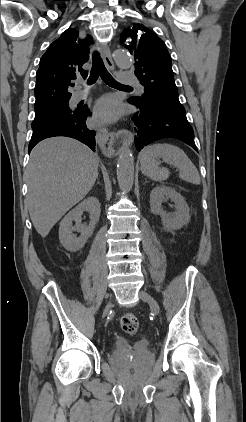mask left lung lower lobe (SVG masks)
Segmentation results:
<instances>
[{
	"mask_svg": "<svg viewBox=\"0 0 246 422\" xmlns=\"http://www.w3.org/2000/svg\"><path fill=\"white\" fill-rule=\"evenodd\" d=\"M133 104L131 101H128ZM134 105V104H133ZM136 106V105H135ZM132 120L137 128L135 145L138 151L148 144L163 138H175L183 141L197 151L194 132L186 113L173 111L157 105L139 107Z\"/></svg>",
	"mask_w": 246,
	"mask_h": 422,
	"instance_id": "1",
	"label": "left lung lower lobe"
}]
</instances>
